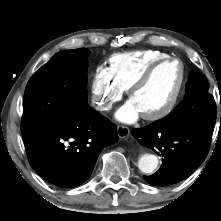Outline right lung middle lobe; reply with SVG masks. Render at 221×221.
<instances>
[{"mask_svg":"<svg viewBox=\"0 0 221 221\" xmlns=\"http://www.w3.org/2000/svg\"><path fill=\"white\" fill-rule=\"evenodd\" d=\"M86 48L55 54L29 80L23 100L22 134L57 126L88 102Z\"/></svg>","mask_w":221,"mask_h":221,"instance_id":"obj_1","label":"right lung middle lobe"}]
</instances>
